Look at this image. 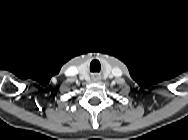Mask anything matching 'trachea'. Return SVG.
Listing matches in <instances>:
<instances>
[{"label": "trachea", "mask_w": 188, "mask_h": 140, "mask_svg": "<svg viewBox=\"0 0 188 140\" xmlns=\"http://www.w3.org/2000/svg\"><path fill=\"white\" fill-rule=\"evenodd\" d=\"M101 68L100 62L98 60H93L90 64L91 72H99Z\"/></svg>", "instance_id": "3493384b"}]
</instances>
